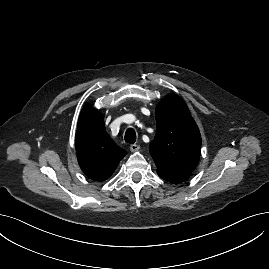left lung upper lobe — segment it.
I'll use <instances>...</instances> for the list:
<instances>
[{"instance_id":"obj_1","label":"left lung upper lobe","mask_w":269,"mask_h":269,"mask_svg":"<svg viewBox=\"0 0 269 269\" xmlns=\"http://www.w3.org/2000/svg\"><path fill=\"white\" fill-rule=\"evenodd\" d=\"M157 131L149 146L157 173L188 176L197 166L201 135L185 102L168 94L156 107Z\"/></svg>"}]
</instances>
